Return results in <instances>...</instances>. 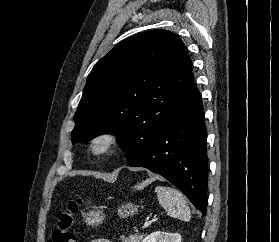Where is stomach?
<instances>
[{
  "label": "stomach",
  "mask_w": 279,
  "mask_h": 242,
  "mask_svg": "<svg viewBox=\"0 0 279 242\" xmlns=\"http://www.w3.org/2000/svg\"><path fill=\"white\" fill-rule=\"evenodd\" d=\"M138 207V205H134L133 203L122 204L117 209L118 215L121 218H127L128 216L134 215L138 211ZM82 217L87 225L97 226L104 221L106 216L103 210L93 207L88 212L82 213Z\"/></svg>",
  "instance_id": "stomach-1"
}]
</instances>
